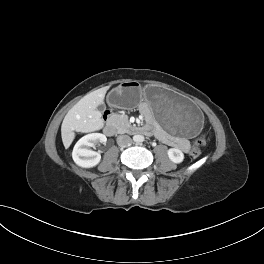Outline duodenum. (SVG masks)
Here are the masks:
<instances>
[{
  "mask_svg": "<svg viewBox=\"0 0 264 264\" xmlns=\"http://www.w3.org/2000/svg\"><path fill=\"white\" fill-rule=\"evenodd\" d=\"M126 131L131 134H145L149 133V129L147 127H137V126H129ZM104 132L108 136H113L117 132V128L112 120H107L104 126Z\"/></svg>",
  "mask_w": 264,
  "mask_h": 264,
  "instance_id": "obj_1",
  "label": "duodenum"
}]
</instances>
